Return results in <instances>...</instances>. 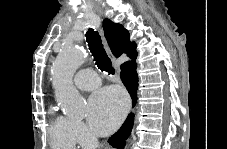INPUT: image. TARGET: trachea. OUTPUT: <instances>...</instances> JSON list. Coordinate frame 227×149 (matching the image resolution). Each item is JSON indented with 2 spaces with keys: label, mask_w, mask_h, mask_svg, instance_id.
<instances>
[{
  "label": "trachea",
  "mask_w": 227,
  "mask_h": 149,
  "mask_svg": "<svg viewBox=\"0 0 227 149\" xmlns=\"http://www.w3.org/2000/svg\"><path fill=\"white\" fill-rule=\"evenodd\" d=\"M86 39L97 67L101 71H105L108 74L114 75L115 70L112 66L110 58L106 54L98 31H94V29L89 28L88 31L86 32Z\"/></svg>",
  "instance_id": "trachea-1"
}]
</instances>
